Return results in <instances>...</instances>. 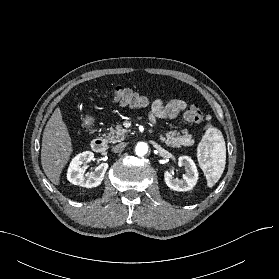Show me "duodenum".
<instances>
[{
    "mask_svg": "<svg viewBox=\"0 0 279 279\" xmlns=\"http://www.w3.org/2000/svg\"><path fill=\"white\" fill-rule=\"evenodd\" d=\"M91 148L96 153H103L107 149V143L103 138L96 137L91 142Z\"/></svg>",
    "mask_w": 279,
    "mask_h": 279,
    "instance_id": "410a0bca",
    "label": "duodenum"
}]
</instances>
